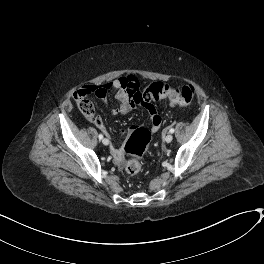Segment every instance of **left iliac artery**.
Returning <instances> with one entry per match:
<instances>
[{
  "label": "left iliac artery",
  "mask_w": 264,
  "mask_h": 264,
  "mask_svg": "<svg viewBox=\"0 0 264 264\" xmlns=\"http://www.w3.org/2000/svg\"><path fill=\"white\" fill-rule=\"evenodd\" d=\"M174 131H175L174 128H171V129L169 130L170 133H174Z\"/></svg>",
  "instance_id": "1"
}]
</instances>
